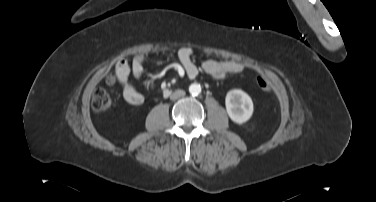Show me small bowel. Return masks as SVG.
I'll list each match as a JSON object with an SVG mask.
<instances>
[{"label": "small bowel", "mask_w": 376, "mask_h": 202, "mask_svg": "<svg viewBox=\"0 0 376 202\" xmlns=\"http://www.w3.org/2000/svg\"><path fill=\"white\" fill-rule=\"evenodd\" d=\"M192 49L190 47H181L178 50L177 57L181 63L186 75L189 78H196L199 69L193 61ZM146 58L144 55H138L133 58L129 64L126 60H121L115 65V75L122 87V96L126 103L138 106L143 103V94L135 87L132 79H139L143 74ZM202 69L213 79H224L228 74H238L243 72L244 65L234 60H205L202 63Z\"/></svg>", "instance_id": "obj_1"}]
</instances>
